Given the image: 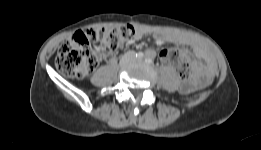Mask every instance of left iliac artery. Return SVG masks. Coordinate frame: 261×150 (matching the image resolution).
<instances>
[{
    "mask_svg": "<svg viewBox=\"0 0 261 150\" xmlns=\"http://www.w3.org/2000/svg\"><path fill=\"white\" fill-rule=\"evenodd\" d=\"M146 62H147L148 64H153V60H152L151 58H149V57L146 59Z\"/></svg>",
    "mask_w": 261,
    "mask_h": 150,
    "instance_id": "44dca946",
    "label": "left iliac artery"
}]
</instances>
